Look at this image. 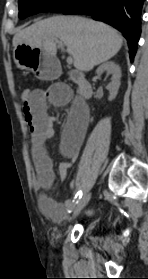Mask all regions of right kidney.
<instances>
[{
  "label": "right kidney",
  "mask_w": 148,
  "mask_h": 279,
  "mask_svg": "<svg viewBox=\"0 0 148 279\" xmlns=\"http://www.w3.org/2000/svg\"><path fill=\"white\" fill-rule=\"evenodd\" d=\"M105 71L112 74V80L107 86V89L110 93L109 100L112 101L118 94V89L120 87L121 70L119 65H117L113 61H109L100 65L97 68L96 73L101 74Z\"/></svg>",
  "instance_id": "1"
}]
</instances>
